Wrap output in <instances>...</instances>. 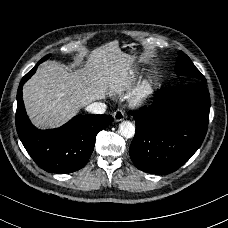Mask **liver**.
Listing matches in <instances>:
<instances>
[{
    "mask_svg": "<svg viewBox=\"0 0 228 228\" xmlns=\"http://www.w3.org/2000/svg\"><path fill=\"white\" fill-rule=\"evenodd\" d=\"M133 61L114 40L92 50L75 72L55 61L45 62L23 87L27 114L36 127H59L81 108L128 84Z\"/></svg>",
    "mask_w": 228,
    "mask_h": 228,
    "instance_id": "liver-1",
    "label": "liver"
}]
</instances>
